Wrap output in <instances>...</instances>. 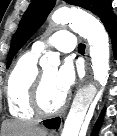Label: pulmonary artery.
Wrapping results in <instances>:
<instances>
[{"label":"pulmonary artery","instance_id":"obj_1","mask_svg":"<svg viewBox=\"0 0 117 136\" xmlns=\"http://www.w3.org/2000/svg\"><path fill=\"white\" fill-rule=\"evenodd\" d=\"M77 46L75 35L67 29H61L46 40L36 41L32 45V50L40 54L49 48L57 49L61 52L68 53Z\"/></svg>","mask_w":117,"mask_h":136}]
</instances>
